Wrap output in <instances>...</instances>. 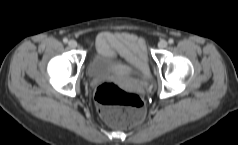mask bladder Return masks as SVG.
<instances>
[{
	"label": "bladder",
	"instance_id": "bladder-1",
	"mask_svg": "<svg viewBox=\"0 0 238 145\" xmlns=\"http://www.w3.org/2000/svg\"><path fill=\"white\" fill-rule=\"evenodd\" d=\"M111 65H125L124 62L120 60H114L113 58H110L106 55L100 54V53H94L90 59L88 60L86 72L88 77L92 79H96L98 74L105 69L108 66ZM137 73L144 77L148 78L150 76V70L149 67L143 66L140 67L139 71Z\"/></svg>",
	"mask_w": 238,
	"mask_h": 145
}]
</instances>
